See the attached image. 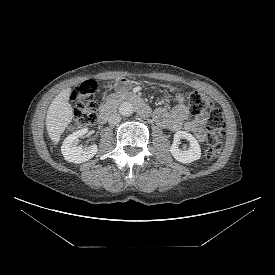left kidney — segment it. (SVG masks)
<instances>
[{
	"label": "left kidney",
	"mask_w": 275,
	"mask_h": 275,
	"mask_svg": "<svg viewBox=\"0 0 275 275\" xmlns=\"http://www.w3.org/2000/svg\"><path fill=\"white\" fill-rule=\"evenodd\" d=\"M173 144L170 147V152L172 156L179 162L187 164L195 160L200 159L201 157V148L198 141L186 131H177L174 134ZM181 139H186L189 142V148L180 149L178 144Z\"/></svg>",
	"instance_id": "left-kidney-1"
}]
</instances>
